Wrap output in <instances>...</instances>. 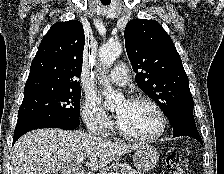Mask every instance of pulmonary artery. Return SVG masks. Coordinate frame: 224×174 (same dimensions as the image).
<instances>
[{
  "label": "pulmonary artery",
  "mask_w": 224,
  "mask_h": 174,
  "mask_svg": "<svg viewBox=\"0 0 224 174\" xmlns=\"http://www.w3.org/2000/svg\"><path fill=\"white\" fill-rule=\"evenodd\" d=\"M109 80L119 86H125L129 82L127 68L125 65H118L109 74Z\"/></svg>",
  "instance_id": "1"
}]
</instances>
